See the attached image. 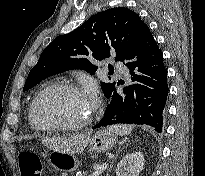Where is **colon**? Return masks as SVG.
Listing matches in <instances>:
<instances>
[{
    "label": "colon",
    "instance_id": "5ec220e1",
    "mask_svg": "<svg viewBox=\"0 0 205 176\" xmlns=\"http://www.w3.org/2000/svg\"><path fill=\"white\" fill-rule=\"evenodd\" d=\"M17 161L21 176H43V164L36 154L23 151Z\"/></svg>",
    "mask_w": 205,
    "mask_h": 176
}]
</instances>
